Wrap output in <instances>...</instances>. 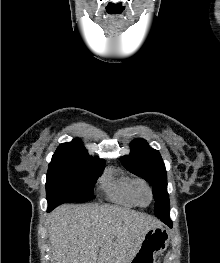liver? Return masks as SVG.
Listing matches in <instances>:
<instances>
[{
  "label": "liver",
  "instance_id": "obj_1",
  "mask_svg": "<svg viewBox=\"0 0 220 263\" xmlns=\"http://www.w3.org/2000/svg\"><path fill=\"white\" fill-rule=\"evenodd\" d=\"M156 218L115 205L62 204L47 218L53 263H130Z\"/></svg>",
  "mask_w": 220,
  "mask_h": 263
}]
</instances>
